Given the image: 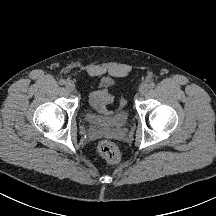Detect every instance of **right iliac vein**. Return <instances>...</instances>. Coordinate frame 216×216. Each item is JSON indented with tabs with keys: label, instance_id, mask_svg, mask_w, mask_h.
I'll list each match as a JSON object with an SVG mask.
<instances>
[{
	"label": "right iliac vein",
	"instance_id": "1",
	"mask_svg": "<svg viewBox=\"0 0 216 216\" xmlns=\"http://www.w3.org/2000/svg\"><path fill=\"white\" fill-rule=\"evenodd\" d=\"M65 87H66V89H67L69 92H72V91H74V89H75L74 83H73L72 81H69V80L66 81Z\"/></svg>",
	"mask_w": 216,
	"mask_h": 216
}]
</instances>
